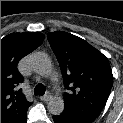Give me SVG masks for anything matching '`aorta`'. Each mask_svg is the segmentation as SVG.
<instances>
[{"instance_id":"762f6f07","label":"aorta","mask_w":123,"mask_h":123,"mask_svg":"<svg viewBox=\"0 0 123 123\" xmlns=\"http://www.w3.org/2000/svg\"><path fill=\"white\" fill-rule=\"evenodd\" d=\"M31 66L41 76H47L52 72L51 60L42 52H36L32 55ZM47 107L52 115H60L64 110V101L60 96L51 97Z\"/></svg>"}]
</instances>
